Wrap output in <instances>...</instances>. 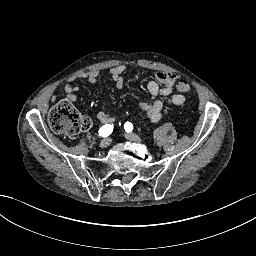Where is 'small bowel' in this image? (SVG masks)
<instances>
[{
  "mask_svg": "<svg viewBox=\"0 0 256 256\" xmlns=\"http://www.w3.org/2000/svg\"><path fill=\"white\" fill-rule=\"evenodd\" d=\"M110 75L116 86L119 89L124 88V73L125 66L119 65L113 67L110 70ZM100 76L99 70H93L80 76L81 79H85L91 84H95ZM184 81L178 82V77L170 72L161 71L155 75L154 80H150L147 83V89L149 93L156 97H162L164 102L168 105L179 106L186 101V97L180 93H173L174 89L177 88L179 92H186L181 87ZM79 87L74 84L73 81L68 82L65 87V99L69 102H75L77 100L76 92ZM56 96L52 97V101H56ZM164 102L161 100H155L153 102L141 103L138 106V110L145 114L151 122H158L162 117ZM96 118L102 124H111L114 122V118L106 112L100 111L97 113Z\"/></svg>",
  "mask_w": 256,
  "mask_h": 256,
  "instance_id": "1",
  "label": "small bowel"
}]
</instances>
